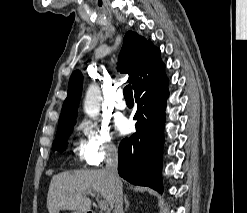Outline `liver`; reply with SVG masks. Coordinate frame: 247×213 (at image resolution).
Returning a JSON list of instances; mask_svg holds the SVG:
<instances>
[{"instance_id": "6515ba94", "label": "liver", "mask_w": 247, "mask_h": 213, "mask_svg": "<svg viewBox=\"0 0 247 213\" xmlns=\"http://www.w3.org/2000/svg\"><path fill=\"white\" fill-rule=\"evenodd\" d=\"M91 191L100 194L110 207L114 206V183L106 169L56 174L52 177L48 190V211L59 213L60 210H73L87 213L92 201L85 194Z\"/></svg>"}]
</instances>
